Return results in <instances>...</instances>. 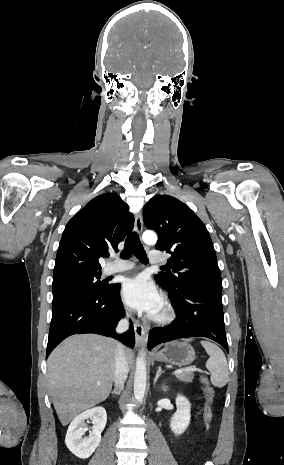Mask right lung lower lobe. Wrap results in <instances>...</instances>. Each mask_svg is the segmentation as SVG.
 Segmentation results:
<instances>
[{
  "mask_svg": "<svg viewBox=\"0 0 284 465\" xmlns=\"http://www.w3.org/2000/svg\"><path fill=\"white\" fill-rule=\"evenodd\" d=\"M124 314L119 283L111 284V288L105 291L72 292L53 300L46 358L61 341L73 334L110 336L133 348L135 335L132 322L124 334L115 333Z\"/></svg>",
  "mask_w": 284,
  "mask_h": 465,
  "instance_id": "98d812e1",
  "label": "right lung lower lobe"
}]
</instances>
